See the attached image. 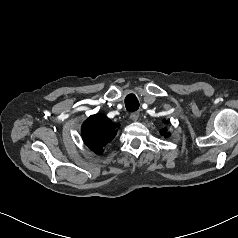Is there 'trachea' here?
<instances>
[{
	"label": "trachea",
	"mask_w": 238,
	"mask_h": 238,
	"mask_svg": "<svg viewBox=\"0 0 238 238\" xmlns=\"http://www.w3.org/2000/svg\"><path fill=\"white\" fill-rule=\"evenodd\" d=\"M125 107L129 112H134L139 108V101L134 94H129L126 96Z\"/></svg>",
	"instance_id": "1"
}]
</instances>
